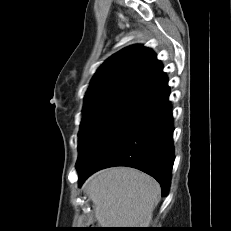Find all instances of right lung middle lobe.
<instances>
[{"instance_id": "dd1d6c3e", "label": "right lung middle lobe", "mask_w": 231, "mask_h": 231, "mask_svg": "<svg viewBox=\"0 0 231 231\" xmlns=\"http://www.w3.org/2000/svg\"><path fill=\"white\" fill-rule=\"evenodd\" d=\"M147 105V102L134 96L110 95L85 106L78 133L77 170L116 129Z\"/></svg>"}]
</instances>
